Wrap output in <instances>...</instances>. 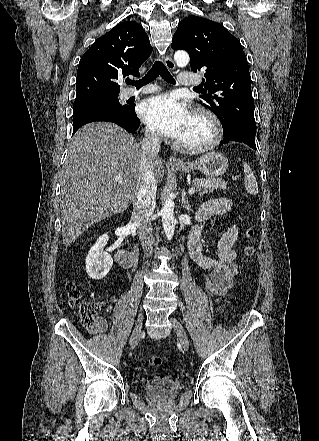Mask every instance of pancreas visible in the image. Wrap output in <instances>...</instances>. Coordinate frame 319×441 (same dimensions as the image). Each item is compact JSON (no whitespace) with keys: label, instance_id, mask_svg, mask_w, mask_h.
Segmentation results:
<instances>
[{"label":"pancreas","instance_id":"cf45deb5","mask_svg":"<svg viewBox=\"0 0 319 441\" xmlns=\"http://www.w3.org/2000/svg\"><path fill=\"white\" fill-rule=\"evenodd\" d=\"M192 185L197 188L199 195L202 196L203 194L212 193L216 189L225 190L228 183L221 179L195 178Z\"/></svg>","mask_w":319,"mask_h":441}]
</instances>
